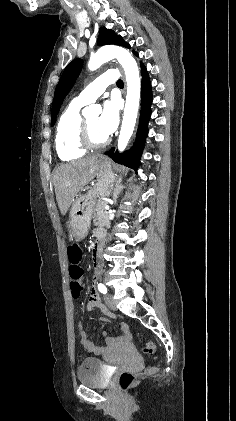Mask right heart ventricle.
Wrapping results in <instances>:
<instances>
[{"instance_id":"e07e8e85","label":"right heart ventricle","mask_w":236,"mask_h":421,"mask_svg":"<svg viewBox=\"0 0 236 421\" xmlns=\"http://www.w3.org/2000/svg\"><path fill=\"white\" fill-rule=\"evenodd\" d=\"M77 101H72L59 117L56 135L55 148L59 158L66 162H73L86 153L76 139V128L81 119V107Z\"/></svg>"}]
</instances>
